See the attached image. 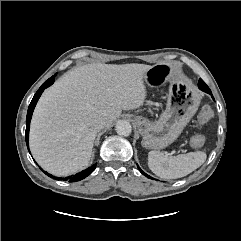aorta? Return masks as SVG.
<instances>
[{
  "label": "aorta",
  "instance_id": "obj_1",
  "mask_svg": "<svg viewBox=\"0 0 241 241\" xmlns=\"http://www.w3.org/2000/svg\"><path fill=\"white\" fill-rule=\"evenodd\" d=\"M115 130L118 135L129 136L132 132V126L127 120H120L117 122Z\"/></svg>",
  "mask_w": 241,
  "mask_h": 241
}]
</instances>
